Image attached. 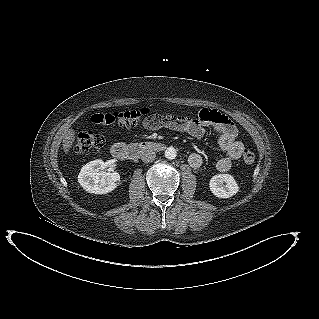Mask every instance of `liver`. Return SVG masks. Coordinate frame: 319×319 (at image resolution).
Segmentation results:
<instances>
[{
  "mask_svg": "<svg viewBox=\"0 0 319 319\" xmlns=\"http://www.w3.org/2000/svg\"><path fill=\"white\" fill-rule=\"evenodd\" d=\"M75 141V131L73 129L67 130L63 135V149L67 154Z\"/></svg>",
  "mask_w": 319,
  "mask_h": 319,
  "instance_id": "liver-1",
  "label": "liver"
}]
</instances>
